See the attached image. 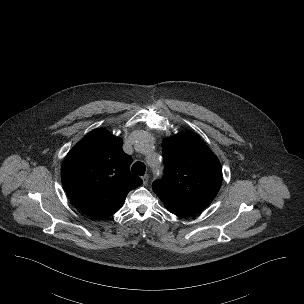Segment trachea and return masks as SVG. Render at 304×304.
<instances>
[{
  "label": "trachea",
  "mask_w": 304,
  "mask_h": 304,
  "mask_svg": "<svg viewBox=\"0 0 304 304\" xmlns=\"http://www.w3.org/2000/svg\"><path fill=\"white\" fill-rule=\"evenodd\" d=\"M132 172L136 175L142 176L145 173L146 167L142 162H136L132 165Z\"/></svg>",
  "instance_id": "1"
}]
</instances>
